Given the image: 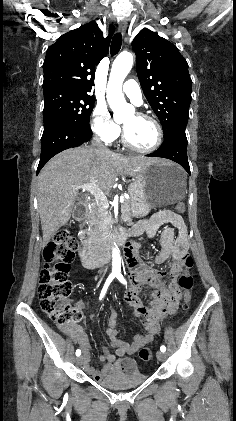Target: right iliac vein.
Here are the masks:
<instances>
[{"mask_svg": "<svg viewBox=\"0 0 236 421\" xmlns=\"http://www.w3.org/2000/svg\"><path fill=\"white\" fill-rule=\"evenodd\" d=\"M85 362V355H81L76 358V363L81 366Z\"/></svg>", "mask_w": 236, "mask_h": 421, "instance_id": "right-iliac-vein-1", "label": "right iliac vein"}]
</instances>
